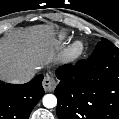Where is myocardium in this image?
<instances>
[{"mask_svg":"<svg viewBox=\"0 0 119 119\" xmlns=\"http://www.w3.org/2000/svg\"><path fill=\"white\" fill-rule=\"evenodd\" d=\"M83 50H84L83 42L80 40H76L69 45V47L67 48L66 55L69 59H74L80 56Z\"/></svg>","mask_w":119,"mask_h":119,"instance_id":"1","label":"myocardium"}]
</instances>
